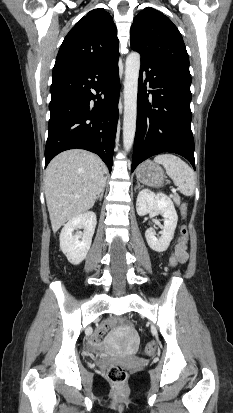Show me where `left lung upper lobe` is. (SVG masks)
Here are the masks:
<instances>
[{
    "label": "left lung upper lobe",
    "instance_id": "obj_1",
    "mask_svg": "<svg viewBox=\"0 0 233 413\" xmlns=\"http://www.w3.org/2000/svg\"><path fill=\"white\" fill-rule=\"evenodd\" d=\"M130 44L141 58L170 69L191 81L189 57L183 38L172 21L161 12L146 7L131 27Z\"/></svg>",
    "mask_w": 233,
    "mask_h": 413
}]
</instances>
